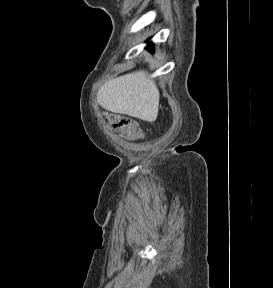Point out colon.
Wrapping results in <instances>:
<instances>
[{"instance_id":"5ec220e1","label":"colon","mask_w":273,"mask_h":288,"mask_svg":"<svg viewBox=\"0 0 273 288\" xmlns=\"http://www.w3.org/2000/svg\"><path fill=\"white\" fill-rule=\"evenodd\" d=\"M105 117L112 129L123 137L136 140L143 136L140 125L131 117L114 113H107Z\"/></svg>"}]
</instances>
